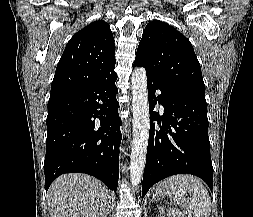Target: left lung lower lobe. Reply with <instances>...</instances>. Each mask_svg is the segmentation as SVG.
<instances>
[{
  "instance_id": "left-lung-lower-lobe-1",
  "label": "left lung lower lobe",
  "mask_w": 253,
  "mask_h": 217,
  "mask_svg": "<svg viewBox=\"0 0 253 217\" xmlns=\"http://www.w3.org/2000/svg\"><path fill=\"white\" fill-rule=\"evenodd\" d=\"M147 87L151 121L142 196L158 181L181 173L200 177L212 190L206 102L169 90L148 76ZM156 89L161 91L158 97ZM157 101L164 106L162 116L153 111Z\"/></svg>"
}]
</instances>
